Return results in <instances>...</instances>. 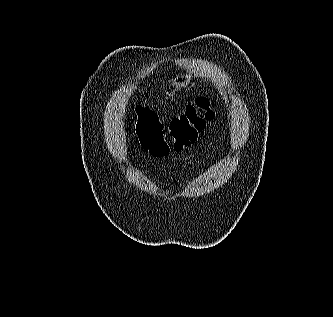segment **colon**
I'll return each mask as SVG.
<instances>
[{
	"instance_id": "5ec220e1",
	"label": "colon",
	"mask_w": 333,
	"mask_h": 317,
	"mask_svg": "<svg viewBox=\"0 0 333 317\" xmlns=\"http://www.w3.org/2000/svg\"><path fill=\"white\" fill-rule=\"evenodd\" d=\"M136 114L137 136L141 147L156 157L191 146L215 115L209 99L204 96L187 104L182 113L171 118L167 127L150 108L136 107Z\"/></svg>"
}]
</instances>
